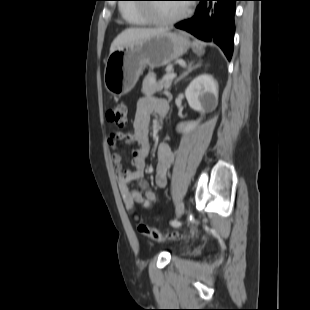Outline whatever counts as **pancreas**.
<instances>
[{
	"mask_svg": "<svg viewBox=\"0 0 310 310\" xmlns=\"http://www.w3.org/2000/svg\"><path fill=\"white\" fill-rule=\"evenodd\" d=\"M172 80L156 82L154 72L150 71L143 80L142 93L144 95H151L161 91L163 88L168 91L171 87Z\"/></svg>",
	"mask_w": 310,
	"mask_h": 310,
	"instance_id": "cf45deb5",
	"label": "pancreas"
}]
</instances>
